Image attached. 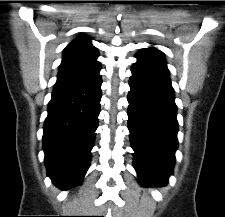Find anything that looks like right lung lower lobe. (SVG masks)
Returning <instances> with one entry per match:
<instances>
[{
  "label": "right lung lower lobe",
  "instance_id": "right-lung-lower-lobe-1",
  "mask_svg": "<svg viewBox=\"0 0 225 217\" xmlns=\"http://www.w3.org/2000/svg\"><path fill=\"white\" fill-rule=\"evenodd\" d=\"M101 76L54 87L44 124L48 176L67 190L80 185L90 166L100 113Z\"/></svg>",
  "mask_w": 225,
  "mask_h": 217
}]
</instances>
